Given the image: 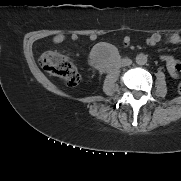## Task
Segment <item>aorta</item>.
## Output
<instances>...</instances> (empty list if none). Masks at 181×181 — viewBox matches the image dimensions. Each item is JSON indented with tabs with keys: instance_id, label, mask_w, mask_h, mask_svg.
Returning a JSON list of instances; mask_svg holds the SVG:
<instances>
[{
	"instance_id": "762f6f07",
	"label": "aorta",
	"mask_w": 181,
	"mask_h": 181,
	"mask_svg": "<svg viewBox=\"0 0 181 181\" xmlns=\"http://www.w3.org/2000/svg\"><path fill=\"white\" fill-rule=\"evenodd\" d=\"M135 60L138 65H145L147 63L148 58L147 55L141 53L136 56Z\"/></svg>"
}]
</instances>
